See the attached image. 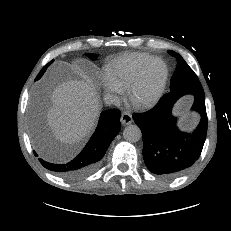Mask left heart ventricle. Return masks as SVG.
Returning a JSON list of instances; mask_svg holds the SVG:
<instances>
[{"label":"left heart ventricle","mask_w":231,"mask_h":231,"mask_svg":"<svg viewBox=\"0 0 231 231\" xmlns=\"http://www.w3.org/2000/svg\"><path fill=\"white\" fill-rule=\"evenodd\" d=\"M161 74H162L161 65L158 63L153 64L148 70V72L146 73L144 81L138 88L136 92V98L139 100H144L152 96V94L155 92L159 84V81L161 79Z\"/></svg>","instance_id":"obj_1"}]
</instances>
